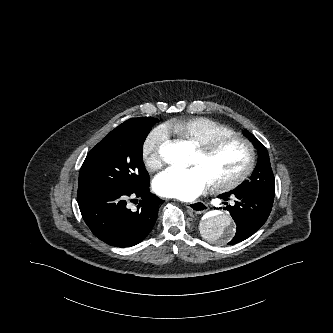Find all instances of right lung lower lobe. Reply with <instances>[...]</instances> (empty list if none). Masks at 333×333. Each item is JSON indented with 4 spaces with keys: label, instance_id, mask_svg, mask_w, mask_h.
Returning <instances> with one entry per match:
<instances>
[{
    "label": "right lung lower lobe",
    "instance_id": "obj_1",
    "mask_svg": "<svg viewBox=\"0 0 333 333\" xmlns=\"http://www.w3.org/2000/svg\"><path fill=\"white\" fill-rule=\"evenodd\" d=\"M130 196L141 198L136 211L128 208ZM78 205L92 233L105 243L130 247L146 238L163 202L149 192V179L141 186H94L78 190Z\"/></svg>",
    "mask_w": 333,
    "mask_h": 333
}]
</instances>
